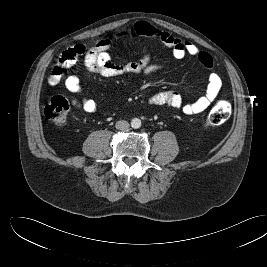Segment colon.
Returning a JSON list of instances; mask_svg holds the SVG:
<instances>
[{
  "mask_svg": "<svg viewBox=\"0 0 267 267\" xmlns=\"http://www.w3.org/2000/svg\"><path fill=\"white\" fill-rule=\"evenodd\" d=\"M69 104L61 95L53 94L44 108L45 117L55 125L62 126L68 120ZM231 115V104L220 100L214 104L208 114L207 126H218L226 122Z\"/></svg>",
  "mask_w": 267,
  "mask_h": 267,
  "instance_id": "1",
  "label": "colon"
}]
</instances>
